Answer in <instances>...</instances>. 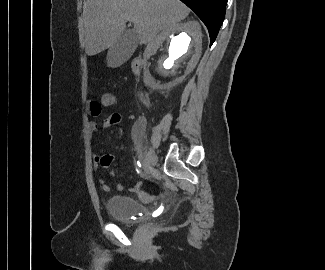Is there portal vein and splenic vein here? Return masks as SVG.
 Instances as JSON below:
<instances>
[{
  "instance_id": "portal-vein-and-splenic-vein-1",
  "label": "portal vein and splenic vein",
  "mask_w": 325,
  "mask_h": 270,
  "mask_svg": "<svg viewBox=\"0 0 325 270\" xmlns=\"http://www.w3.org/2000/svg\"><path fill=\"white\" fill-rule=\"evenodd\" d=\"M128 21H131L132 23H138V19L136 17H127Z\"/></svg>"
}]
</instances>
